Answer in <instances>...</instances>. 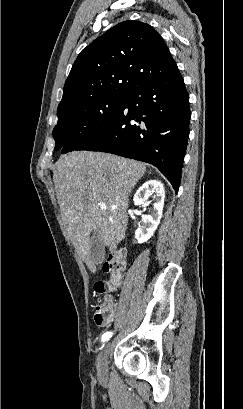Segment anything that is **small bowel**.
Instances as JSON below:
<instances>
[{"instance_id": "1", "label": "small bowel", "mask_w": 243, "mask_h": 409, "mask_svg": "<svg viewBox=\"0 0 243 409\" xmlns=\"http://www.w3.org/2000/svg\"><path fill=\"white\" fill-rule=\"evenodd\" d=\"M104 301H106L107 303H109V305H110V307H111V309H112V317L110 318V320L108 321V323L112 320V318L114 317V315L116 314V306H115V304L113 303V299H112V296H110V295H106L105 297H104ZM108 323H106V324H108ZM105 324V325H106Z\"/></svg>"}]
</instances>
